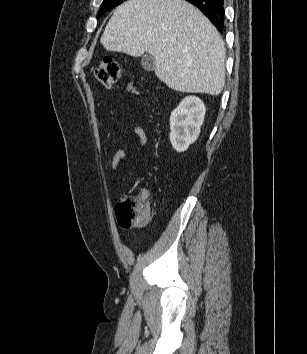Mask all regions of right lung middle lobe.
Returning a JSON list of instances; mask_svg holds the SVG:
<instances>
[{"label": "right lung middle lobe", "mask_w": 307, "mask_h": 354, "mask_svg": "<svg viewBox=\"0 0 307 354\" xmlns=\"http://www.w3.org/2000/svg\"><path fill=\"white\" fill-rule=\"evenodd\" d=\"M124 1H126V0H103L97 17H100L103 13L118 6L119 4H121Z\"/></svg>", "instance_id": "1"}]
</instances>
